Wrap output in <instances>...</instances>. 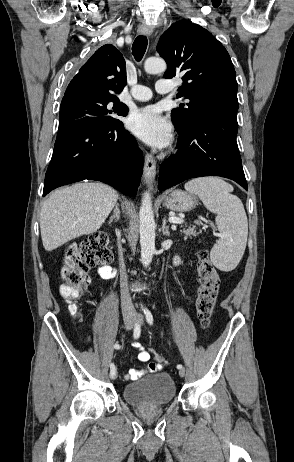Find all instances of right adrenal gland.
Listing matches in <instances>:
<instances>
[{
    "label": "right adrenal gland",
    "instance_id": "right-adrenal-gland-1",
    "mask_svg": "<svg viewBox=\"0 0 294 462\" xmlns=\"http://www.w3.org/2000/svg\"><path fill=\"white\" fill-rule=\"evenodd\" d=\"M120 214H121V211L119 208V204L117 203L113 210V214L110 216V223L118 222L120 220Z\"/></svg>",
    "mask_w": 294,
    "mask_h": 462
}]
</instances>
